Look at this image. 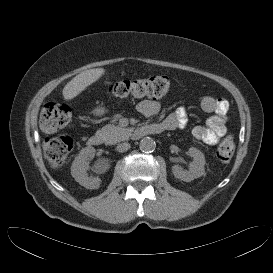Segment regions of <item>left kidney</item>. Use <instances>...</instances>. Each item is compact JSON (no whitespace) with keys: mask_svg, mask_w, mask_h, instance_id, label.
I'll use <instances>...</instances> for the list:
<instances>
[{"mask_svg":"<svg viewBox=\"0 0 273 273\" xmlns=\"http://www.w3.org/2000/svg\"><path fill=\"white\" fill-rule=\"evenodd\" d=\"M188 155L193 157V161L190 164L189 170H183L178 165L172 167L174 176L182 181L190 182L196 178H199L205 173V156L204 154L195 147H190Z\"/></svg>","mask_w":273,"mask_h":273,"instance_id":"1","label":"left kidney"}]
</instances>
